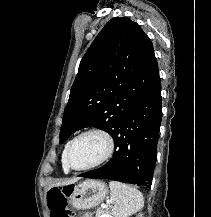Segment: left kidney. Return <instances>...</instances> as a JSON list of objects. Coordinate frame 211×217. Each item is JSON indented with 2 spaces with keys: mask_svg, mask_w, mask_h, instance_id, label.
I'll list each match as a JSON object with an SVG mask.
<instances>
[{
  "mask_svg": "<svg viewBox=\"0 0 211 217\" xmlns=\"http://www.w3.org/2000/svg\"><path fill=\"white\" fill-rule=\"evenodd\" d=\"M102 217H113V216L106 213V214H103Z\"/></svg>",
  "mask_w": 211,
  "mask_h": 217,
  "instance_id": "5707ae66",
  "label": "left kidney"
}]
</instances>
